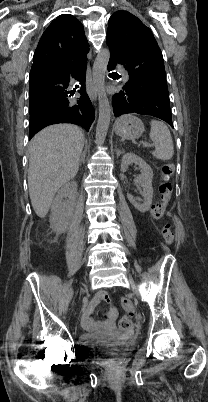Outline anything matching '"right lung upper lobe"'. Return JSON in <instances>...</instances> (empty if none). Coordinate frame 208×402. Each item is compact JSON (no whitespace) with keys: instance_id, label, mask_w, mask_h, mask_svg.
I'll list each match as a JSON object with an SVG mask.
<instances>
[{"instance_id":"1","label":"right lung upper lobe","mask_w":208,"mask_h":402,"mask_svg":"<svg viewBox=\"0 0 208 402\" xmlns=\"http://www.w3.org/2000/svg\"><path fill=\"white\" fill-rule=\"evenodd\" d=\"M89 51L82 23L70 14L58 16L43 33L33 56L30 75L69 71Z\"/></svg>"}]
</instances>
